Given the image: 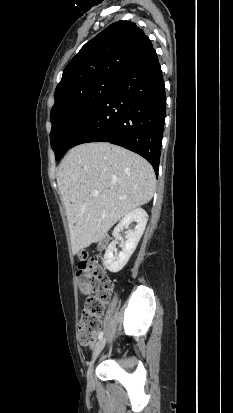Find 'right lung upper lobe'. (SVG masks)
<instances>
[{"instance_id":"cb5924a9","label":"right lung upper lobe","mask_w":233,"mask_h":413,"mask_svg":"<svg viewBox=\"0 0 233 413\" xmlns=\"http://www.w3.org/2000/svg\"><path fill=\"white\" fill-rule=\"evenodd\" d=\"M152 48L150 39L131 21L113 23L67 64L55 90V100L99 78H116Z\"/></svg>"}]
</instances>
